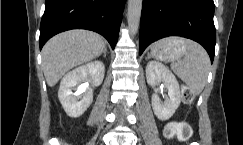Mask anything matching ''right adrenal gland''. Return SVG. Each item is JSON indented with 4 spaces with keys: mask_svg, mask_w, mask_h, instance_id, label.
Instances as JSON below:
<instances>
[{
    "mask_svg": "<svg viewBox=\"0 0 243 145\" xmlns=\"http://www.w3.org/2000/svg\"><path fill=\"white\" fill-rule=\"evenodd\" d=\"M106 53H107V49H106V47H104L103 52L101 54H103V56L106 57ZM101 54L99 56H101Z\"/></svg>",
    "mask_w": 243,
    "mask_h": 145,
    "instance_id": "right-adrenal-gland-1",
    "label": "right adrenal gland"
}]
</instances>
